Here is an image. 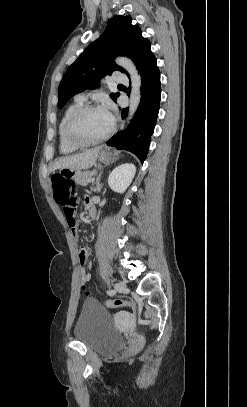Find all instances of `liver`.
<instances>
[{"mask_svg":"<svg viewBox=\"0 0 247 407\" xmlns=\"http://www.w3.org/2000/svg\"><path fill=\"white\" fill-rule=\"evenodd\" d=\"M101 148L96 147L76 155L62 157L54 163L52 170L65 168L70 170L88 169L95 164Z\"/></svg>","mask_w":247,"mask_h":407,"instance_id":"6515ba94","label":"liver"}]
</instances>
